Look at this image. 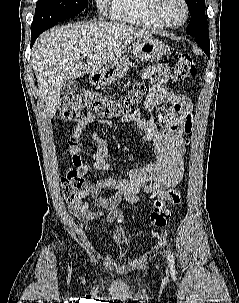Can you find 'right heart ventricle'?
I'll return each instance as SVG.
<instances>
[{
  "label": "right heart ventricle",
  "mask_w": 239,
  "mask_h": 303,
  "mask_svg": "<svg viewBox=\"0 0 239 303\" xmlns=\"http://www.w3.org/2000/svg\"><path fill=\"white\" fill-rule=\"evenodd\" d=\"M151 0H112L111 18L120 22L136 25L144 29L159 31L163 27L151 15Z\"/></svg>",
  "instance_id": "1"
}]
</instances>
